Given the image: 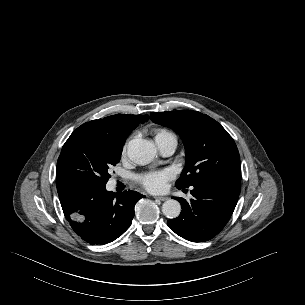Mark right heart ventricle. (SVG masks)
<instances>
[{
  "mask_svg": "<svg viewBox=\"0 0 305 305\" xmlns=\"http://www.w3.org/2000/svg\"><path fill=\"white\" fill-rule=\"evenodd\" d=\"M174 137V134L165 129H158L155 131V140H162L166 138Z\"/></svg>",
  "mask_w": 305,
  "mask_h": 305,
  "instance_id": "e07e8e85",
  "label": "right heart ventricle"
}]
</instances>
